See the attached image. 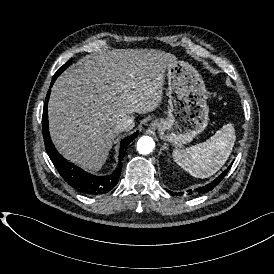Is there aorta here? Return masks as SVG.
<instances>
[{"mask_svg":"<svg viewBox=\"0 0 274 274\" xmlns=\"http://www.w3.org/2000/svg\"><path fill=\"white\" fill-rule=\"evenodd\" d=\"M155 147V142L153 138L149 136H142L137 142V151L140 154L147 155L150 154Z\"/></svg>","mask_w":274,"mask_h":274,"instance_id":"aorta-1","label":"aorta"}]
</instances>
